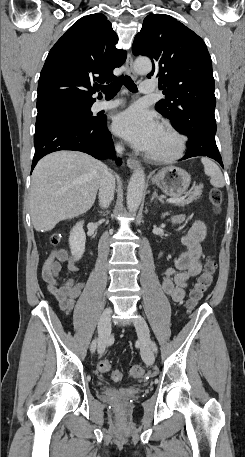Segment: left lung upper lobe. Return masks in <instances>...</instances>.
<instances>
[{
	"instance_id": "left-lung-upper-lobe-1",
	"label": "left lung upper lobe",
	"mask_w": 245,
	"mask_h": 457,
	"mask_svg": "<svg viewBox=\"0 0 245 457\" xmlns=\"http://www.w3.org/2000/svg\"><path fill=\"white\" fill-rule=\"evenodd\" d=\"M132 52L152 60L148 78L156 76L166 99L155 108L163 116L182 123L197 112H214L212 62L204 41L181 22L165 14H150L135 36Z\"/></svg>"
}]
</instances>
